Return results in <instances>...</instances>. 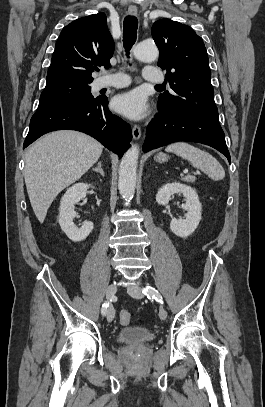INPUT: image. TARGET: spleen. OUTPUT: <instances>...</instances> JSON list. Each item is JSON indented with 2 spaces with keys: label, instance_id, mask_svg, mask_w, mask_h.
Here are the masks:
<instances>
[{
  "label": "spleen",
  "instance_id": "obj_1",
  "mask_svg": "<svg viewBox=\"0 0 265 407\" xmlns=\"http://www.w3.org/2000/svg\"><path fill=\"white\" fill-rule=\"evenodd\" d=\"M165 150L188 160L193 167L202 170L215 181L225 177V171L221 164L206 151L185 142L173 143L167 146Z\"/></svg>",
  "mask_w": 265,
  "mask_h": 407
}]
</instances>
